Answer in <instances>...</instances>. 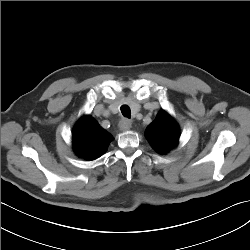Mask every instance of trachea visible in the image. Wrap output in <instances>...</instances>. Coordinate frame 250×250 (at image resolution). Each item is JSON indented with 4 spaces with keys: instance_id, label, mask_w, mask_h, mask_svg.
Masks as SVG:
<instances>
[{
    "instance_id": "trachea-1",
    "label": "trachea",
    "mask_w": 250,
    "mask_h": 250,
    "mask_svg": "<svg viewBox=\"0 0 250 250\" xmlns=\"http://www.w3.org/2000/svg\"><path fill=\"white\" fill-rule=\"evenodd\" d=\"M120 109L124 117H127V118L131 117V111L127 105H122Z\"/></svg>"
}]
</instances>
